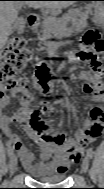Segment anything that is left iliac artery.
<instances>
[{"mask_svg":"<svg viewBox=\"0 0 104 189\" xmlns=\"http://www.w3.org/2000/svg\"><path fill=\"white\" fill-rule=\"evenodd\" d=\"M93 155H94L93 150L92 149H88L87 156L91 159L93 157Z\"/></svg>","mask_w":104,"mask_h":189,"instance_id":"1","label":"left iliac artery"}]
</instances>
